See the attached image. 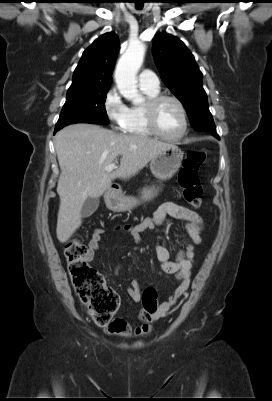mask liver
<instances>
[{"mask_svg":"<svg viewBox=\"0 0 272 401\" xmlns=\"http://www.w3.org/2000/svg\"><path fill=\"white\" fill-rule=\"evenodd\" d=\"M171 144L138 135L119 134L98 125L77 123L55 136L60 166L57 193L60 206L57 238L66 242L81 226V209L88 197L98 198L116 178L129 179ZM111 172L105 167L117 162Z\"/></svg>","mask_w":272,"mask_h":401,"instance_id":"1","label":"liver"}]
</instances>
